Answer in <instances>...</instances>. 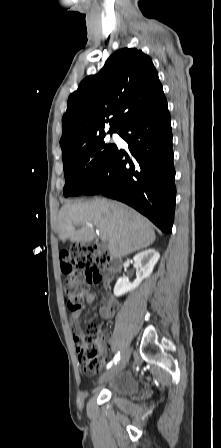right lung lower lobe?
I'll list each match as a JSON object with an SVG mask.
<instances>
[{
	"label": "right lung lower lobe",
	"instance_id": "right-lung-lower-lobe-1",
	"mask_svg": "<svg viewBox=\"0 0 221 448\" xmlns=\"http://www.w3.org/2000/svg\"><path fill=\"white\" fill-rule=\"evenodd\" d=\"M129 156L117 148L104 170L83 194H102L122 201L171 233L174 184L171 119L165 96L131 116L119 130Z\"/></svg>",
	"mask_w": 221,
	"mask_h": 448
}]
</instances>
